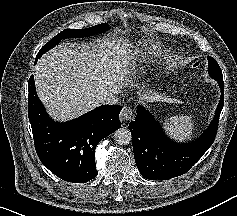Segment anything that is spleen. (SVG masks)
I'll return each mask as SVG.
<instances>
[{
    "label": "spleen",
    "mask_w": 237,
    "mask_h": 216,
    "mask_svg": "<svg viewBox=\"0 0 237 216\" xmlns=\"http://www.w3.org/2000/svg\"><path fill=\"white\" fill-rule=\"evenodd\" d=\"M164 125L175 139L188 138L192 130V123L186 116L170 117L164 121Z\"/></svg>",
    "instance_id": "3e777b00"
}]
</instances>
